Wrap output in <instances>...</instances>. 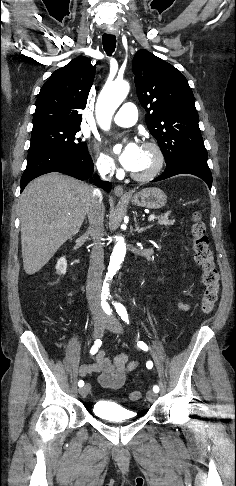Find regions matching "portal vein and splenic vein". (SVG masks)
Listing matches in <instances>:
<instances>
[{
    "label": "portal vein and splenic vein",
    "instance_id": "obj_1",
    "mask_svg": "<svg viewBox=\"0 0 236 486\" xmlns=\"http://www.w3.org/2000/svg\"><path fill=\"white\" fill-rule=\"evenodd\" d=\"M155 218H156V217H155V215H154V214H152V215H150V216H149L148 220H149V221H153Z\"/></svg>",
    "mask_w": 236,
    "mask_h": 486
}]
</instances>
